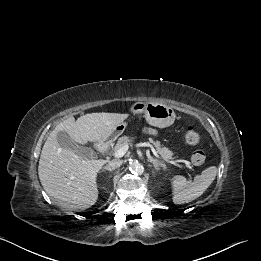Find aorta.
<instances>
[{"instance_id":"obj_1","label":"aorta","mask_w":261,"mask_h":261,"mask_svg":"<svg viewBox=\"0 0 261 261\" xmlns=\"http://www.w3.org/2000/svg\"><path fill=\"white\" fill-rule=\"evenodd\" d=\"M129 169L134 174H141L144 170L143 166L138 161H131L129 163Z\"/></svg>"}]
</instances>
